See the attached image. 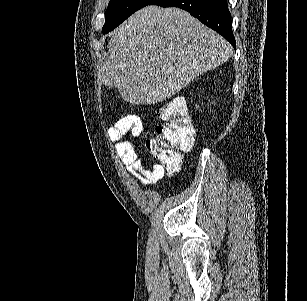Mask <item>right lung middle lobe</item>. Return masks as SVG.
Here are the masks:
<instances>
[{
	"label": "right lung middle lobe",
	"instance_id": "dd1d6c3e",
	"mask_svg": "<svg viewBox=\"0 0 307 301\" xmlns=\"http://www.w3.org/2000/svg\"><path fill=\"white\" fill-rule=\"evenodd\" d=\"M155 0H110L105 12V24L102 33L106 34L115 29L125 19L137 10L150 5Z\"/></svg>",
	"mask_w": 307,
	"mask_h": 301
}]
</instances>
